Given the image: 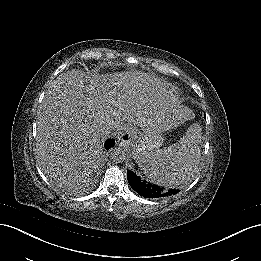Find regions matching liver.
Here are the masks:
<instances>
[{"label":"liver","mask_w":261,"mask_h":261,"mask_svg":"<svg viewBox=\"0 0 261 261\" xmlns=\"http://www.w3.org/2000/svg\"><path fill=\"white\" fill-rule=\"evenodd\" d=\"M138 100L116 76L71 70L41 104L36 139L42 171L56 184L83 179L98 164L107 126L128 122L144 128L165 115L164 99L152 106Z\"/></svg>","instance_id":"liver-1"}]
</instances>
